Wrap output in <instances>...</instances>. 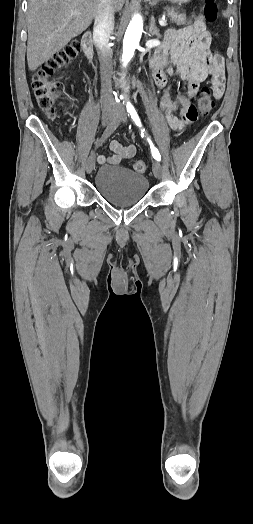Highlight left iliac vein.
<instances>
[{"mask_svg": "<svg viewBox=\"0 0 253 524\" xmlns=\"http://www.w3.org/2000/svg\"><path fill=\"white\" fill-rule=\"evenodd\" d=\"M116 117L121 120V122L125 123L127 121V115L124 111V108L122 106H119L116 110ZM153 173L154 176L158 179L161 178L162 175V165L159 161L153 162Z\"/></svg>", "mask_w": 253, "mask_h": 524, "instance_id": "4c4485c4", "label": "left iliac vein"}]
</instances>
